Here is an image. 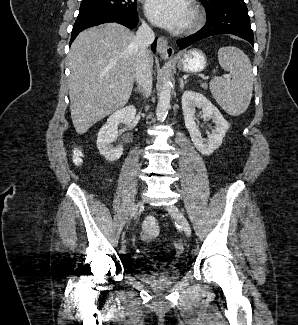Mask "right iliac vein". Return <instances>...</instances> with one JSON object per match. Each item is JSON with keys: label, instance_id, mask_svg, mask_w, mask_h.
Masks as SVG:
<instances>
[{"label": "right iliac vein", "instance_id": "1", "mask_svg": "<svg viewBox=\"0 0 298 325\" xmlns=\"http://www.w3.org/2000/svg\"><path fill=\"white\" fill-rule=\"evenodd\" d=\"M136 210H137V206H136V204H134V205L132 206V209H131L130 215H131V216L134 215V213H135Z\"/></svg>", "mask_w": 298, "mask_h": 325}]
</instances>
